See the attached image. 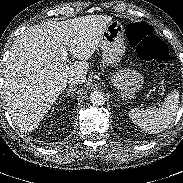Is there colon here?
Masks as SVG:
<instances>
[{
	"instance_id": "5ec220e1",
	"label": "colon",
	"mask_w": 183,
	"mask_h": 183,
	"mask_svg": "<svg viewBox=\"0 0 183 183\" xmlns=\"http://www.w3.org/2000/svg\"><path fill=\"white\" fill-rule=\"evenodd\" d=\"M126 37L138 55L158 67H164L169 60L167 45L155 36L150 25L142 22L130 23L125 29Z\"/></svg>"
}]
</instances>
